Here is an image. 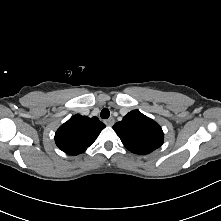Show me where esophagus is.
I'll list each match as a JSON object with an SVG mask.
<instances>
[{"label":"esophagus","mask_w":221,"mask_h":221,"mask_svg":"<svg viewBox=\"0 0 221 221\" xmlns=\"http://www.w3.org/2000/svg\"><path fill=\"white\" fill-rule=\"evenodd\" d=\"M114 123H115L114 118H109V119H106V120H105V124H106L107 126H113Z\"/></svg>","instance_id":"obj_1"}]
</instances>
